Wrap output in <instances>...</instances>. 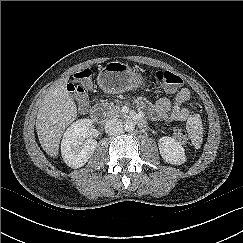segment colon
<instances>
[{
	"label": "colon",
	"mask_w": 243,
	"mask_h": 243,
	"mask_svg": "<svg viewBox=\"0 0 243 243\" xmlns=\"http://www.w3.org/2000/svg\"><path fill=\"white\" fill-rule=\"evenodd\" d=\"M94 72L90 68H85L73 74L71 82L68 84V90L75 96L79 105L87 103L85 88L90 85ZM151 75L162 85L169 90H175L182 86L183 80L180 76L166 70H158L151 73ZM172 135L180 142L187 141V134L179 126L171 127Z\"/></svg>",
	"instance_id": "colon-1"
}]
</instances>
